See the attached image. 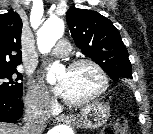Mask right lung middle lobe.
I'll return each mask as SVG.
<instances>
[{
  "instance_id": "obj_1",
  "label": "right lung middle lobe",
  "mask_w": 153,
  "mask_h": 134,
  "mask_svg": "<svg viewBox=\"0 0 153 134\" xmlns=\"http://www.w3.org/2000/svg\"><path fill=\"white\" fill-rule=\"evenodd\" d=\"M19 80H22V75L16 66L0 67V94L21 98L23 85Z\"/></svg>"
}]
</instances>
